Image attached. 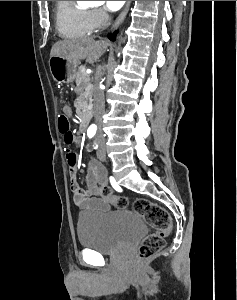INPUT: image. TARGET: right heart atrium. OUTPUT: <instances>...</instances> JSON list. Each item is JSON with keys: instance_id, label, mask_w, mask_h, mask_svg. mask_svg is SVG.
<instances>
[{"instance_id": "right-heart-atrium-1", "label": "right heart atrium", "mask_w": 237, "mask_h": 300, "mask_svg": "<svg viewBox=\"0 0 237 300\" xmlns=\"http://www.w3.org/2000/svg\"><path fill=\"white\" fill-rule=\"evenodd\" d=\"M108 15L101 9H92L88 12V30L94 31L108 22Z\"/></svg>"}]
</instances>
